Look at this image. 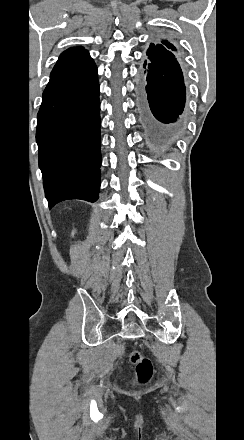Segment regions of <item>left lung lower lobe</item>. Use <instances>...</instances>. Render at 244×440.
Returning a JSON list of instances; mask_svg holds the SVG:
<instances>
[{
    "label": "left lung lower lobe",
    "mask_w": 244,
    "mask_h": 440,
    "mask_svg": "<svg viewBox=\"0 0 244 440\" xmlns=\"http://www.w3.org/2000/svg\"><path fill=\"white\" fill-rule=\"evenodd\" d=\"M172 56L174 60L166 63L147 58L137 76L140 125L145 141L157 148L173 145L184 130V78L176 55Z\"/></svg>",
    "instance_id": "0a47b994"
}]
</instances>
